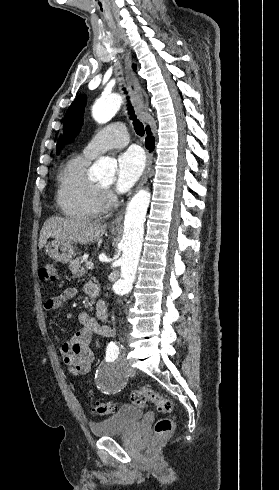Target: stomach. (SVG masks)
<instances>
[{
    "label": "stomach",
    "mask_w": 279,
    "mask_h": 490,
    "mask_svg": "<svg viewBox=\"0 0 279 490\" xmlns=\"http://www.w3.org/2000/svg\"><path fill=\"white\" fill-rule=\"evenodd\" d=\"M116 234V232H114ZM46 252L52 260L56 262H61V264H67L73 260L75 254V248L70 244V242H58V240H53L49 242L46 246Z\"/></svg>",
    "instance_id": "obj_1"
}]
</instances>
